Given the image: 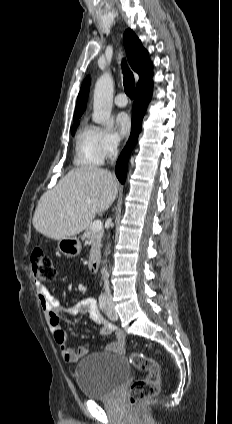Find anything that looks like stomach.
Segmentation results:
<instances>
[{
    "label": "stomach",
    "mask_w": 232,
    "mask_h": 424,
    "mask_svg": "<svg viewBox=\"0 0 232 424\" xmlns=\"http://www.w3.org/2000/svg\"><path fill=\"white\" fill-rule=\"evenodd\" d=\"M58 249L66 257H76L81 251V243L77 237H66L59 240Z\"/></svg>",
    "instance_id": "obj_1"
}]
</instances>
